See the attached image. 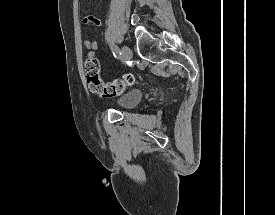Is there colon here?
<instances>
[{
	"label": "colon",
	"instance_id": "1",
	"mask_svg": "<svg viewBox=\"0 0 275 215\" xmlns=\"http://www.w3.org/2000/svg\"><path fill=\"white\" fill-rule=\"evenodd\" d=\"M84 71L90 90L105 98L121 94L135 82L134 76L130 73L113 81H104L100 76L99 60L92 52L84 58Z\"/></svg>",
	"mask_w": 275,
	"mask_h": 215
}]
</instances>
